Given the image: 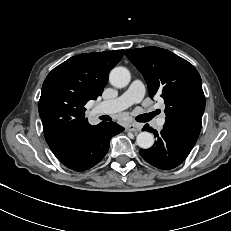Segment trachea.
Wrapping results in <instances>:
<instances>
[{
  "instance_id": "3493384b",
  "label": "trachea",
  "mask_w": 231,
  "mask_h": 231,
  "mask_svg": "<svg viewBox=\"0 0 231 231\" xmlns=\"http://www.w3.org/2000/svg\"><path fill=\"white\" fill-rule=\"evenodd\" d=\"M156 114H157L156 112L142 114V115L137 116L136 120L138 122H147V121L151 120Z\"/></svg>"
}]
</instances>
